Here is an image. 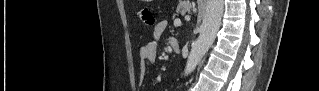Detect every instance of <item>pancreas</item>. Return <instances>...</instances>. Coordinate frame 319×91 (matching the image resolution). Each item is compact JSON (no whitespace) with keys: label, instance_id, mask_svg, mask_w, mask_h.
Segmentation results:
<instances>
[{"label":"pancreas","instance_id":"cf45deb5","mask_svg":"<svg viewBox=\"0 0 319 91\" xmlns=\"http://www.w3.org/2000/svg\"><path fill=\"white\" fill-rule=\"evenodd\" d=\"M190 10V6L189 5H179L178 7H177V13H186V12H188Z\"/></svg>","mask_w":319,"mask_h":91}]
</instances>
